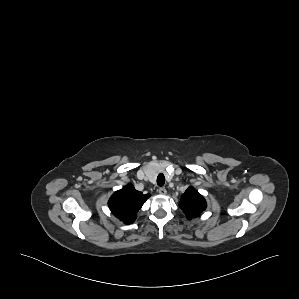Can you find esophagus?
<instances>
[{
    "mask_svg": "<svg viewBox=\"0 0 299 299\" xmlns=\"http://www.w3.org/2000/svg\"><path fill=\"white\" fill-rule=\"evenodd\" d=\"M158 192H159V194H161V195H165V194L167 193V190H166L164 187H160V188L158 189Z\"/></svg>",
    "mask_w": 299,
    "mask_h": 299,
    "instance_id": "obj_1",
    "label": "esophagus"
}]
</instances>
